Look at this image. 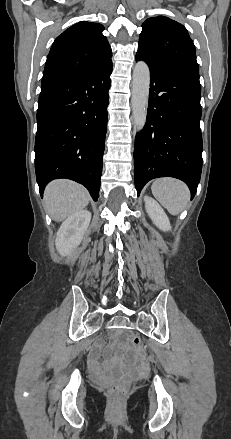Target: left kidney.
<instances>
[{
  "label": "left kidney",
  "instance_id": "5707ae66",
  "mask_svg": "<svg viewBox=\"0 0 231 439\" xmlns=\"http://www.w3.org/2000/svg\"><path fill=\"white\" fill-rule=\"evenodd\" d=\"M146 211L153 223L163 231L171 230L169 219L162 207L151 197L145 196Z\"/></svg>",
  "mask_w": 231,
  "mask_h": 439
}]
</instances>
